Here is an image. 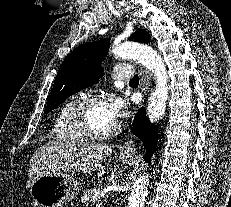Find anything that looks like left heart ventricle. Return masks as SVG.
Segmentation results:
<instances>
[{"label": "left heart ventricle", "mask_w": 231, "mask_h": 207, "mask_svg": "<svg viewBox=\"0 0 231 207\" xmlns=\"http://www.w3.org/2000/svg\"><path fill=\"white\" fill-rule=\"evenodd\" d=\"M84 119L88 127L96 133L110 130L117 122L109 113L105 103L89 106L85 111Z\"/></svg>", "instance_id": "1"}]
</instances>
